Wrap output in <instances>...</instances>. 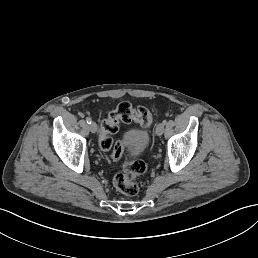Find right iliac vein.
I'll return each mask as SVG.
<instances>
[{"mask_svg":"<svg viewBox=\"0 0 258 258\" xmlns=\"http://www.w3.org/2000/svg\"><path fill=\"white\" fill-rule=\"evenodd\" d=\"M89 126H90L89 128H90L91 134L94 133V132L95 133L98 132V129H97L98 125H97V123L95 121H90V125Z\"/></svg>","mask_w":258,"mask_h":258,"instance_id":"63e3f726","label":"right iliac vein"}]
</instances>
